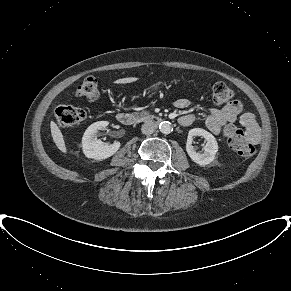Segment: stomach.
Returning a JSON list of instances; mask_svg holds the SVG:
<instances>
[{
    "label": "stomach",
    "mask_w": 291,
    "mask_h": 291,
    "mask_svg": "<svg viewBox=\"0 0 291 291\" xmlns=\"http://www.w3.org/2000/svg\"><path fill=\"white\" fill-rule=\"evenodd\" d=\"M152 89H153V90H156V89H157V85H153V86H152Z\"/></svg>",
    "instance_id": "stomach-1"
}]
</instances>
